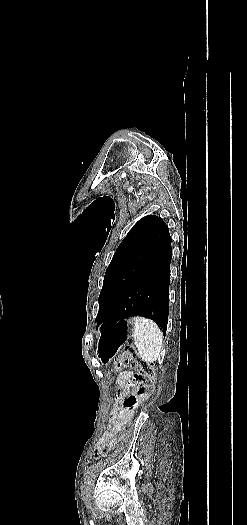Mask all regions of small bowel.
<instances>
[{"label": "small bowel", "instance_id": "obj_1", "mask_svg": "<svg viewBox=\"0 0 247 525\" xmlns=\"http://www.w3.org/2000/svg\"><path fill=\"white\" fill-rule=\"evenodd\" d=\"M135 372L133 371H124L122 372L117 379V386L119 388L117 393V398L114 403L112 417L109 421L108 428L104 432L101 439L98 441L95 447V456L97 458L104 456L107 453L105 450V442L111 438L113 435L117 434L123 423L128 417V413L125 411L122 405V398L129 390V381L134 377Z\"/></svg>", "mask_w": 247, "mask_h": 525}]
</instances>
